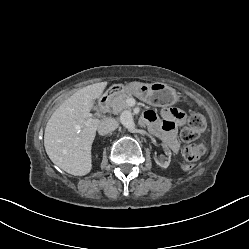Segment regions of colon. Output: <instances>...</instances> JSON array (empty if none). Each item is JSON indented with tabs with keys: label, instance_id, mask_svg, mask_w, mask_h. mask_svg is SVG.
I'll return each mask as SVG.
<instances>
[{
	"label": "colon",
	"instance_id": "5ec220e1",
	"mask_svg": "<svg viewBox=\"0 0 249 249\" xmlns=\"http://www.w3.org/2000/svg\"><path fill=\"white\" fill-rule=\"evenodd\" d=\"M206 129V118L198 112L192 113L188 125L180 133L181 139L188 144L184 149V158L187 162H195L204 154V146L195 140Z\"/></svg>",
	"mask_w": 249,
	"mask_h": 249
}]
</instances>
